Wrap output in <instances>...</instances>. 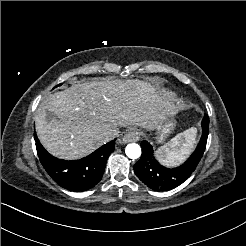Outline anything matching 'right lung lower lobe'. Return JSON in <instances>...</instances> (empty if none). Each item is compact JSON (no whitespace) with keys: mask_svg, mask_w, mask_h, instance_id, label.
Masks as SVG:
<instances>
[{"mask_svg":"<svg viewBox=\"0 0 246 246\" xmlns=\"http://www.w3.org/2000/svg\"><path fill=\"white\" fill-rule=\"evenodd\" d=\"M35 142L45 170L60 186L70 191H86L94 187L101 180L107 158L115 149V140H112L83 159L66 161L50 155L36 135Z\"/></svg>","mask_w":246,"mask_h":246,"instance_id":"obj_1","label":"right lung lower lobe"}]
</instances>
